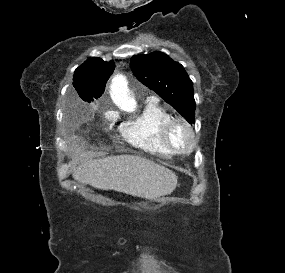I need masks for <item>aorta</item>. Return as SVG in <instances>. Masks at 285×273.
I'll use <instances>...</instances> for the list:
<instances>
[{"instance_id": "762f6f07", "label": "aorta", "mask_w": 285, "mask_h": 273, "mask_svg": "<svg viewBox=\"0 0 285 273\" xmlns=\"http://www.w3.org/2000/svg\"><path fill=\"white\" fill-rule=\"evenodd\" d=\"M110 95L113 102L122 110L134 112L137 109V102L131 95L128 82L125 76L116 75L111 84Z\"/></svg>"}]
</instances>
